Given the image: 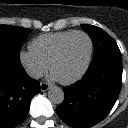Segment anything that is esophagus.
I'll use <instances>...</instances> for the list:
<instances>
[{"label": "esophagus", "mask_w": 128, "mask_h": 128, "mask_svg": "<svg viewBox=\"0 0 128 128\" xmlns=\"http://www.w3.org/2000/svg\"><path fill=\"white\" fill-rule=\"evenodd\" d=\"M40 88H41V91L45 92L50 88V85L48 83L41 82L40 83Z\"/></svg>", "instance_id": "obj_1"}]
</instances>
